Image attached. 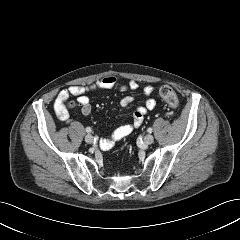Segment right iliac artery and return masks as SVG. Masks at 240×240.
<instances>
[{
	"label": "right iliac artery",
	"mask_w": 240,
	"mask_h": 240,
	"mask_svg": "<svg viewBox=\"0 0 240 240\" xmlns=\"http://www.w3.org/2000/svg\"><path fill=\"white\" fill-rule=\"evenodd\" d=\"M92 131V129L90 127L86 128V132L90 133Z\"/></svg>",
	"instance_id": "1"
}]
</instances>
